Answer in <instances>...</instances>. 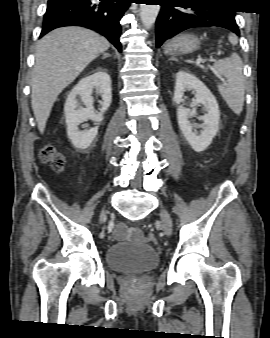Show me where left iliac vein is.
Here are the masks:
<instances>
[{"label":"left iliac vein","instance_id":"left-iliac-vein-1","mask_svg":"<svg viewBox=\"0 0 270 338\" xmlns=\"http://www.w3.org/2000/svg\"><path fill=\"white\" fill-rule=\"evenodd\" d=\"M161 219L163 223V231L167 236H170L173 229L172 219L166 210L161 211Z\"/></svg>","mask_w":270,"mask_h":338}]
</instances>
